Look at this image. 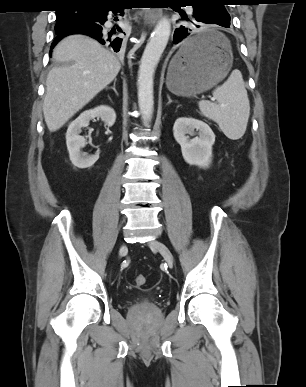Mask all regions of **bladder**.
I'll use <instances>...</instances> for the list:
<instances>
[{
    "mask_svg": "<svg viewBox=\"0 0 306 387\" xmlns=\"http://www.w3.org/2000/svg\"><path fill=\"white\" fill-rule=\"evenodd\" d=\"M154 305L155 304H154L153 300L149 297H146V296H140V297L136 298L132 304V306L135 308H151Z\"/></svg>",
    "mask_w": 306,
    "mask_h": 387,
    "instance_id": "31cf9c89",
    "label": "bladder"
}]
</instances>
